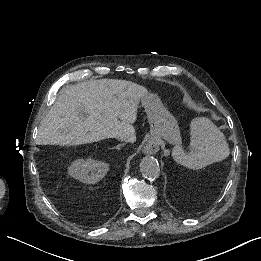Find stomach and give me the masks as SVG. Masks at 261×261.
I'll list each match as a JSON object with an SVG mask.
<instances>
[{"label": "stomach", "instance_id": "0dacf381", "mask_svg": "<svg viewBox=\"0 0 261 261\" xmlns=\"http://www.w3.org/2000/svg\"><path fill=\"white\" fill-rule=\"evenodd\" d=\"M151 126L152 138H163L176 144L180 140V131L173 115L164 107L156 94L148 93L141 98Z\"/></svg>", "mask_w": 261, "mask_h": 261}]
</instances>
